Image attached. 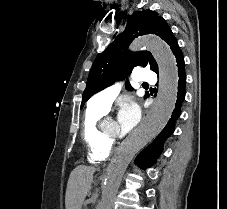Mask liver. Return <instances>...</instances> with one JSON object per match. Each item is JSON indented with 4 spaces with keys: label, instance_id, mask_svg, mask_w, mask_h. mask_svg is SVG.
I'll return each mask as SVG.
<instances>
[{
    "label": "liver",
    "instance_id": "liver-1",
    "mask_svg": "<svg viewBox=\"0 0 227 209\" xmlns=\"http://www.w3.org/2000/svg\"><path fill=\"white\" fill-rule=\"evenodd\" d=\"M94 171V167H85V165H79L72 171L65 197L66 209H81L89 193Z\"/></svg>",
    "mask_w": 227,
    "mask_h": 209
}]
</instances>
